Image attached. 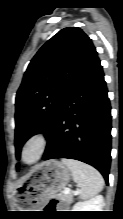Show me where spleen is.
<instances>
[{"label":"spleen","instance_id":"1","mask_svg":"<svg viewBox=\"0 0 123 219\" xmlns=\"http://www.w3.org/2000/svg\"><path fill=\"white\" fill-rule=\"evenodd\" d=\"M62 163L70 169L73 180L80 185L81 199L92 198L101 192L104 180L95 168L73 159L63 158Z\"/></svg>","mask_w":123,"mask_h":219}]
</instances>
